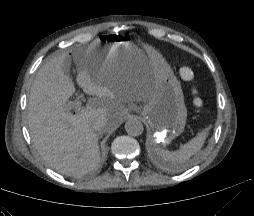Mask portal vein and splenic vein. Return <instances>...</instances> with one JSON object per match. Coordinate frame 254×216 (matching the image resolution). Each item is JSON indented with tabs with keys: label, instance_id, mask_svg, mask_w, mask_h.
Listing matches in <instances>:
<instances>
[{
	"label": "portal vein and splenic vein",
	"instance_id": "18ae733b",
	"mask_svg": "<svg viewBox=\"0 0 254 216\" xmlns=\"http://www.w3.org/2000/svg\"><path fill=\"white\" fill-rule=\"evenodd\" d=\"M69 109H74L76 114L80 113V111L82 110L81 101L79 99H76L75 101L70 102Z\"/></svg>",
	"mask_w": 254,
	"mask_h": 216
}]
</instances>
